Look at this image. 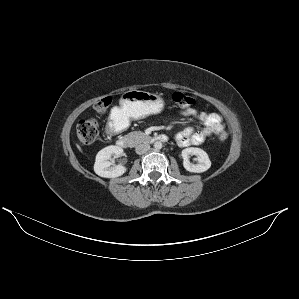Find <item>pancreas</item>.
Returning <instances> with one entry per match:
<instances>
[{
  "label": "pancreas",
  "mask_w": 299,
  "mask_h": 299,
  "mask_svg": "<svg viewBox=\"0 0 299 299\" xmlns=\"http://www.w3.org/2000/svg\"><path fill=\"white\" fill-rule=\"evenodd\" d=\"M129 138L134 140V143H139L144 140L149 139V136H147L145 133L140 131L131 132L127 135Z\"/></svg>",
  "instance_id": "cf45deb5"
}]
</instances>
